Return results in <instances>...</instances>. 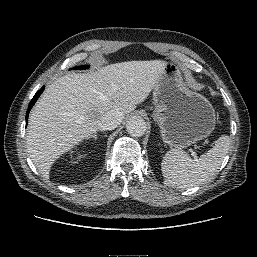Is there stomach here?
Returning a JSON list of instances; mask_svg holds the SVG:
<instances>
[{"mask_svg":"<svg viewBox=\"0 0 257 257\" xmlns=\"http://www.w3.org/2000/svg\"><path fill=\"white\" fill-rule=\"evenodd\" d=\"M152 117L161 129L163 141L176 149L208 137L216 124L211 103L185 82L178 66L166 62L153 89Z\"/></svg>","mask_w":257,"mask_h":257,"instance_id":"obj_1","label":"stomach"}]
</instances>
